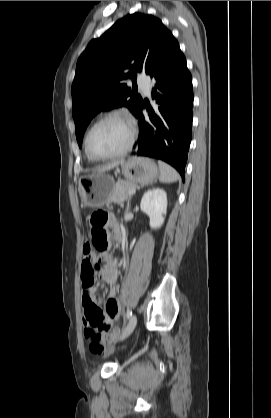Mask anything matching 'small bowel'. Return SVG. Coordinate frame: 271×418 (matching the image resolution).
Segmentation results:
<instances>
[{
    "label": "small bowel",
    "instance_id": "c3829d8e",
    "mask_svg": "<svg viewBox=\"0 0 271 418\" xmlns=\"http://www.w3.org/2000/svg\"><path fill=\"white\" fill-rule=\"evenodd\" d=\"M107 223L111 226L117 225V222L113 217H107ZM81 245L86 247L88 242L83 240ZM81 254L85 256L81 263V284L83 288L82 306L84 309L83 323L85 331L89 327V322L86 316L87 311L91 308H97L102 313L105 322L109 326V328L104 331L101 336L102 341H106L117 333V330H115L113 333H109V330L112 328L113 324L118 320L120 316V307L119 302L115 297L116 291L114 285L118 270L117 263L113 261L108 254H102L98 258L93 253L88 254L86 249H83ZM96 274L99 275V284L101 286H106L108 283L110 284L108 299L102 304V306H99L96 300ZM90 350L94 354H100L104 351V347L102 344L100 349H94L90 347Z\"/></svg>",
    "mask_w": 271,
    "mask_h": 418
}]
</instances>
